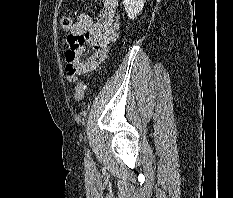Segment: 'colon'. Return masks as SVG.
Wrapping results in <instances>:
<instances>
[{
  "label": "colon",
  "mask_w": 233,
  "mask_h": 198,
  "mask_svg": "<svg viewBox=\"0 0 233 198\" xmlns=\"http://www.w3.org/2000/svg\"><path fill=\"white\" fill-rule=\"evenodd\" d=\"M60 25H61L63 30L69 31L73 25V21L69 16H63L60 20ZM66 61H67L66 68H67L68 73L69 74L77 73L78 67H77V64L75 62V56L73 53L70 52L67 54ZM86 88H87V86L84 82H79L76 85L75 92H74L75 100H77V101L83 100V98L85 96Z\"/></svg>",
  "instance_id": "1"
}]
</instances>
